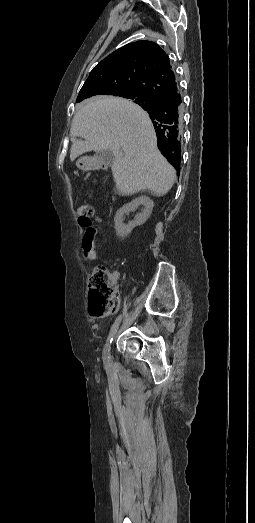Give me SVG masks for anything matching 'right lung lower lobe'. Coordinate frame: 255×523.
Returning a JSON list of instances; mask_svg holds the SVG:
<instances>
[{"label":"right lung lower lobe","mask_w":255,"mask_h":523,"mask_svg":"<svg viewBox=\"0 0 255 523\" xmlns=\"http://www.w3.org/2000/svg\"><path fill=\"white\" fill-rule=\"evenodd\" d=\"M180 110L181 103L178 100L164 101L150 110V117L158 123L157 129L159 131H164L166 128H169V134L176 136L178 134V127L174 117L175 113H178ZM165 115L168 119H165ZM155 139L161 141L163 144H167L166 151L168 153H173L179 149V143L177 141L169 143L170 137L166 132H157Z\"/></svg>","instance_id":"98d812e1"}]
</instances>
